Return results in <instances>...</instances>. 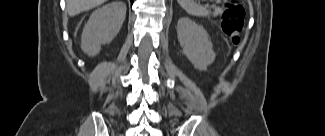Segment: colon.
I'll use <instances>...</instances> for the list:
<instances>
[{"mask_svg": "<svg viewBox=\"0 0 325 136\" xmlns=\"http://www.w3.org/2000/svg\"><path fill=\"white\" fill-rule=\"evenodd\" d=\"M245 10L239 3L227 2L223 13L222 29L232 38L234 44L241 42L240 33L244 27Z\"/></svg>", "mask_w": 325, "mask_h": 136, "instance_id": "obj_1", "label": "colon"}]
</instances>
